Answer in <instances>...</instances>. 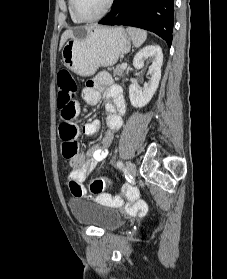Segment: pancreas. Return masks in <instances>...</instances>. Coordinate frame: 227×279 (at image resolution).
Segmentation results:
<instances>
[{
	"mask_svg": "<svg viewBox=\"0 0 227 279\" xmlns=\"http://www.w3.org/2000/svg\"><path fill=\"white\" fill-rule=\"evenodd\" d=\"M110 71H113L114 76L121 77L123 75V69L121 65H117L116 67L108 68Z\"/></svg>",
	"mask_w": 227,
	"mask_h": 279,
	"instance_id": "pancreas-1",
	"label": "pancreas"
}]
</instances>
